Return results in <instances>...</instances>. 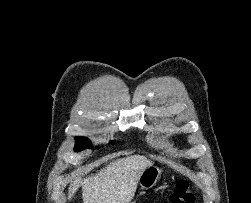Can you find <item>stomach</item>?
<instances>
[{
  "label": "stomach",
  "instance_id": "stomach-1",
  "mask_svg": "<svg viewBox=\"0 0 251 203\" xmlns=\"http://www.w3.org/2000/svg\"><path fill=\"white\" fill-rule=\"evenodd\" d=\"M160 175L161 170L158 167L149 166L141 172L138 183L142 189L149 190L156 185Z\"/></svg>",
  "mask_w": 251,
  "mask_h": 203
}]
</instances>
